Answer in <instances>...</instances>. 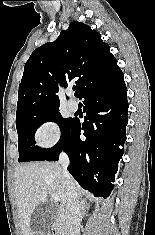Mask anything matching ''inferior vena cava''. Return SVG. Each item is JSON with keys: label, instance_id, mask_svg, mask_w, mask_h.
I'll return each instance as SVG.
<instances>
[{"label": "inferior vena cava", "instance_id": "inferior-vena-cava-1", "mask_svg": "<svg viewBox=\"0 0 155 235\" xmlns=\"http://www.w3.org/2000/svg\"><path fill=\"white\" fill-rule=\"evenodd\" d=\"M59 162L63 169V175L65 178L67 206H66V219H65V235H80V222L82 215L80 212V205L78 201V195L75 191L73 179L70 176L67 167L69 166V159L65 153H61Z\"/></svg>", "mask_w": 155, "mask_h": 235}]
</instances>
